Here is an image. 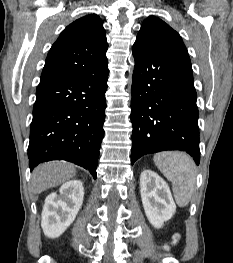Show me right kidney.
Here are the masks:
<instances>
[{"label":"right kidney","mask_w":233,"mask_h":263,"mask_svg":"<svg viewBox=\"0 0 233 263\" xmlns=\"http://www.w3.org/2000/svg\"><path fill=\"white\" fill-rule=\"evenodd\" d=\"M56 192L45 199L41 226L49 238L59 237L75 220L83 203L84 187L80 180L65 182Z\"/></svg>","instance_id":"right-kidney-1"}]
</instances>
